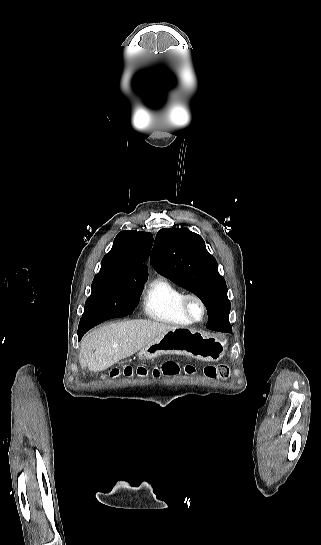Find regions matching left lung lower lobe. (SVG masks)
Instances as JSON below:
<instances>
[{
	"label": "left lung lower lobe",
	"mask_w": 321,
	"mask_h": 545,
	"mask_svg": "<svg viewBox=\"0 0 321 545\" xmlns=\"http://www.w3.org/2000/svg\"><path fill=\"white\" fill-rule=\"evenodd\" d=\"M208 311V323L206 327L214 331H229L231 325L229 323V316L221 311L207 310Z\"/></svg>",
	"instance_id": "left-lung-lower-lobe-1"
}]
</instances>
